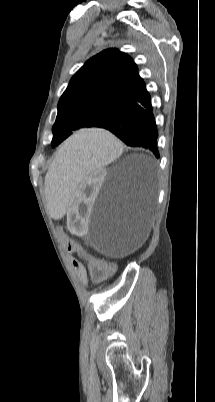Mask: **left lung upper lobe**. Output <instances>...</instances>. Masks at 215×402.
I'll return each instance as SVG.
<instances>
[{
	"mask_svg": "<svg viewBox=\"0 0 215 402\" xmlns=\"http://www.w3.org/2000/svg\"><path fill=\"white\" fill-rule=\"evenodd\" d=\"M144 86L136 64L127 54L107 49L90 58L71 78L58 102L52 147L74 130L96 127L134 99Z\"/></svg>",
	"mask_w": 215,
	"mask_h": 402,
	"instance_id": "1",
	"label": "left lung upper lobe"
}]
</instances>
